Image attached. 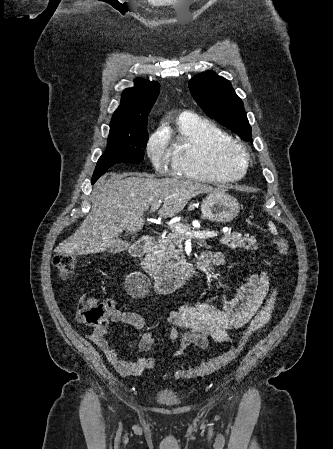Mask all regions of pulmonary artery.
<instances>
[{
    "instance_id": "pulmonary-artery-1",
    "label": "pulmonary artery",
    "mask_w": 333,
    "mask_h": 449,
    "mask_svg": "<svg viewBox=\"0 0 333 449\" xmlns=\"http://www.w3.org/2000/svg\"><path fill=\"white\" fill-rule=\"evenodd\" d=\"M186 118H192V115L190 113H188V112H183L180 115V119H186Z\"/></svg>"
}]
</instances>
